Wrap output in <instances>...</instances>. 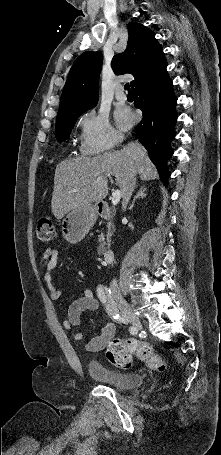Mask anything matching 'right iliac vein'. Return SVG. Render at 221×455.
I'll use <instances>...</instances> for the list:
<instances>
[{
    "mask_svg": "<svg viewBox=\"0 0 221 455\" xmlns=\"http://www.w3.org/2000/svg\"><path fill=\"white\" fill-rule=\"evenodd\" d=\"M115 301L117 302L118 306L123 310V312L127 315L128 319L132 323V325L136 329H141L142 323H141L139 317L136 314H134L132 308L127 303V301L121 295H116Z\"/></svg>",
    "mask_w": 221,
    "mask_h": 455,
    "instance_id": "right-iliac-vein-1",
    "label": "right iliac vein"
}]
</instances>
